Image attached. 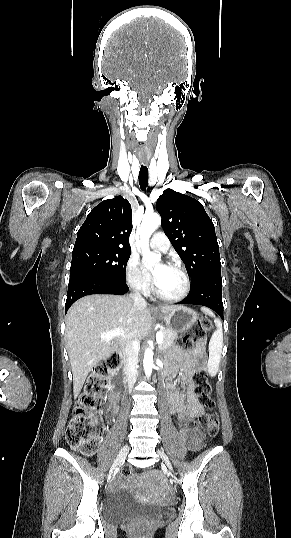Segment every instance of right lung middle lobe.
Returning a JSON list of instances; mask_svg holds the SVG:
<instances>
[{
    "label": "right lung middle lobe",
    "instance_id": "dd1d6c3e",
    "mask_svg": "<svg viewBox=\"0 0 291 538\" xmlns=\"http://www.w3.org/2000/svg\"><path fill=\"white\" fill-rule=\"evenodd\" d=\"M131 249L91 246L73 250L70 280L98 277L126 281L125 270Z\"/></svg>",
    "mask_w": 291,
    "mask_h": 538
}]
</instances>
